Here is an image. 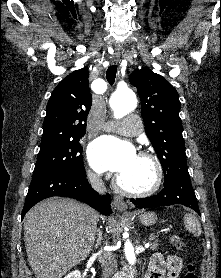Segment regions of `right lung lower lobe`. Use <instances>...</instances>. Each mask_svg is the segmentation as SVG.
Listing matches in <instances>:
<instances>
[{
    "instance_id": "obj_1",
    "label": "right lung lower lobe",
    "mask_w": 221,
    "mask_h": 278,
    "mask_svg": "<svg viewBox=\"0 0 221 278\" xmlns=\"http://www.w3.org/2000/svg\"><path fill=\"white\" fill-rule=\"evenodd\" d=\"M53 196L74 198L90 205L104 215L111 213L109 194L98 195L89 185L86 172L82 174L59 173L30 184L21 218L33 205Z\"/></svg>"
}]
</instances>
